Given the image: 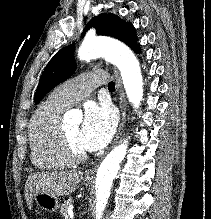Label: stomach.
<instances>
[{"instance_id":"stomach-1","label":"stomach","mask_w":211,"mask_h":219,"mask_svg":"<svg viewBox=\"0 0 211 219\" xmlns=\"http://www.w3.org/2000/svg\"><path fill=\"white\" fill-rule=\"evenodd\" d=\"M85 181L89 182L87 178ZM33 200L39 208L47 212H56L60 207L58 198L47 193H38L33 197Z\"/></svg>"}]
</instances>
